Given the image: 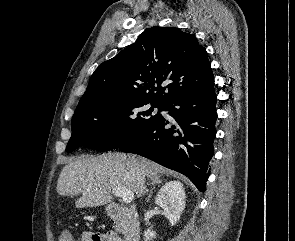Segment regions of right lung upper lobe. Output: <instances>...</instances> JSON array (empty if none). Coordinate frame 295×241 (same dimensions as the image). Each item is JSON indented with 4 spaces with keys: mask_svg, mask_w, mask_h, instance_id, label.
I'll use <instances>...</instances> for the list:
<instances>
[{
    "mask_svg": "<svg viewBox=\"0 0 295 241\" xmlns=\"http://www.w3.org/2000/svg\"><path fill=\"white\" fill-rule=\"evenodd\" d=\"M213 80L207 52L194 35L175 27L150 28L95 70L81 100L116 96L163 105Z\"/></svg>",
    "mask_w": 295,
    "mask_h": 241,
    "instance_id": "obj_1",
    "label": "right lung upper lobe"
}]
</instances>
